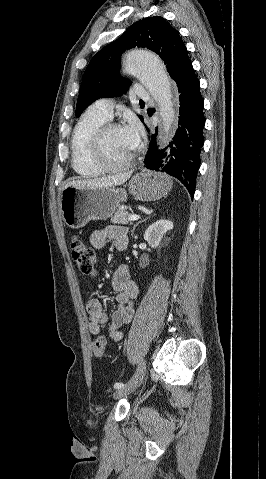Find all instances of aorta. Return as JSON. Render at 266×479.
I'll use <instances>...</instances> for the list:
<instances>
[{
    "label": "aorta",
    "mask_w": 266,
    "mask_h": 479,
    "mask_svg": "<svg viewBox=\"0 0 266 479\" xmlns=\"http://www.w3.org/2000/svg\"><path fill=\"white\" fill-rule=\"evenodd\" d=\"M124 65L126 73L142 82L158 102L163 129L168 136L175 113L171 81L163 63L155 54L143 49H135L126 54ZM161 140L165 142L166 137L162 136Z\"/></svg>",
    "instance_id": "aorta-1"
}]
</instances>
